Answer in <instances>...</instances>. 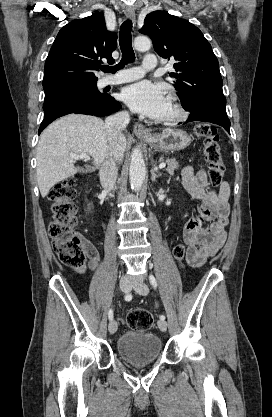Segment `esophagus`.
<instances>
[{
  "label": "esophagus",
  "mask_w": 272,
  "mask_h": 417,
  "mask_svg": "<svg viewBox=\"0 0 272 417\" xmlns=\"http://www.w3.org/2000/svg\"><path fill=\"white\" fill-rule=\"evenodd\" d=\"M125 16L135 21V11L132 7H126L124 10ZM133 131L137 136H151L150 132L140 123H135Z\"/></svg>",
  "instance_id": "34e87169"
}]
</instances>
